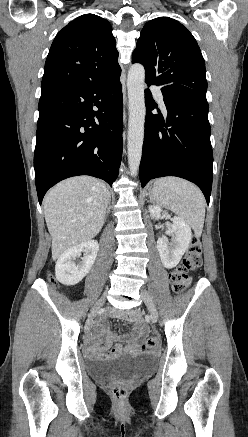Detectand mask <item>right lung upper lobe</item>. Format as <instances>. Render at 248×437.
<instances>
[{"instance_id":"right-lung-upper-lobe-1","label":"right lung upper lobe","mask_w":248,"mask_h":437,"mask_svg":"<svg viewBox=\"0 0 248 437\" xmlns=\"http://www.w3.org/2000/svg\"><path fill=\"white\" fill-rule=\"evenodd\" d=\"M118 55L110 23L94 14L82 15L56 35L45 62L42 89L104 81L120 73Z\"/></svg>"}]
</instances>
